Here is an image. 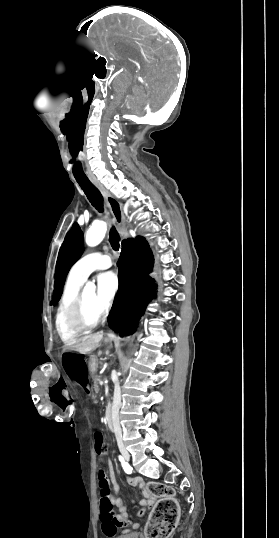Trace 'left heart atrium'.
I'll return each mask as SVG.
<instances>
[{
	"instance_id": "39dd6f15",
	"label": "left heart atrium",
	"mask_w": 279,
	"mask_h": 538,
	"mask_svg": "<svg viewBox=\"0 0 279 538\" xmlns=\"http://www.w3.org/2000/svg\"><path fill=\"white\" fill-rule=\"evenodd\" d=\"M119 289V277L114 271H107L98 276L97 301L102 311L113 302Z\"/></svg>"
}]
</instances>
